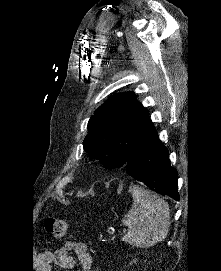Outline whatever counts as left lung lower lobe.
Returning a JSON list of instances; mask_svg holds the SVG:
<instances>
[{"instance_id": "left-lung-lower-lobe-1", "label": "left lung lower lobe", "mask_w": 221, "mask_h": 271, "mask_svg": "<svg viewBox=\"0 0 221 271\" xmlns=\"http://www.w3.org/2000/svg\"><path fill=\"white\" fill-rule=\"evenodd\" d=\"M125 166L134 179L179 201L177 171L171 167L168 150L159 140L156 130L131 152Z\"/></svg>"}]
</instances>
